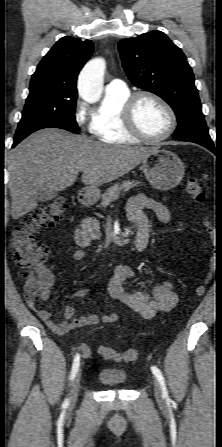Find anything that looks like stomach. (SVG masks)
<instances>
[{
  "label": "stomach",
  "mask_w": 222,
  "mask_h": 447,
  "mask_svg": "<svg viewBox=\"0 0 222 447\" xmlns=\"http://www.w3.org/2000/svg\"><path fill=\"white\" fill-rule=\"evenodd\" d=\"M140 169L156 189L168 190L176 187L183 179L185 167L180 158L168 150L155 148L141 163ZM100 192L96 188L87 190V199L94 201Z\"/></svg>",
  "instance_id": "stomach-1"
}]
</instances>
